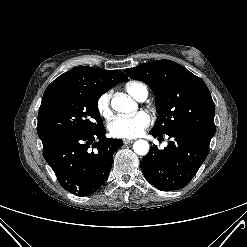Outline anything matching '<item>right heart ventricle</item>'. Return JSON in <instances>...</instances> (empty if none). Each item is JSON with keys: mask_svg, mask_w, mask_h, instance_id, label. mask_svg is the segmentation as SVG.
<instances>
[{"mask_svg": "<svg viewBox=\"0 0 247 247\" xmlns=\"http://www.w3.org/2000/svg\"><path fill=\"white\" fill-rule=\"evenodd\" d=\"M126 91L134 98H138L142 90L145 89V86L139 82H129L126 85Z\"/></svg>", "mask_w": 247, "mask_h": 247, "instance_id": "obj_1", "label": "right heart ventricle"}]
</instances>
